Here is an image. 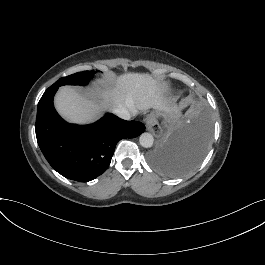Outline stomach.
I'll list each match as a JSON object with an SVG mask.
<instances>
[{
	"label": "stomach",
	"instance_id": "1",
	"mask_svg": "<svg viewBox=\"0 0 265 265\" xmlns=\"http://www.w3.org/2000/svg\"><path fill=\"white\" fill-rule=\"evenodd\" d=\"M180 117V113L177 110H170L164 113L165 122L168 125L175 124Z\"/></svg>",
	"mask_w": 265,
	"mask_h": 265
}]
</instances>
